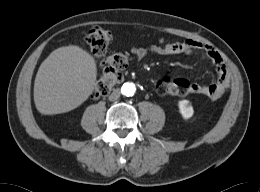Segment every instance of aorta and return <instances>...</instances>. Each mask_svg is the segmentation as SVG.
<instances>
[{"instance_id":"obj_1","label":"aorta","mask_w":260,"mask_h":192,"mask_svg":"<svg viewBox=\"0 0 260 192\" xmlns=\"http://www.w3.org/2000/svg\"><path fill=\"white\" fill-rule=\"evenodd\" d=\"M136 91V87L133 83L126 82L122 85L121 92L125 96H133Z\"/></svg>"}]
</instances>
